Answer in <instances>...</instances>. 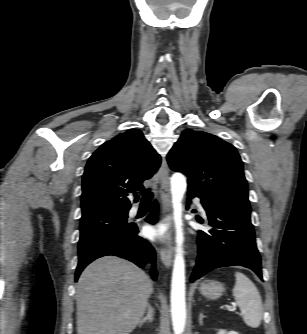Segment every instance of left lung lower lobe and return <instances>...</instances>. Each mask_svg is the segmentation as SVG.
<instances>
[{"mask_svg": "<svg viewBox=\"0 0 307 334\" xmlns=\"http://www.w3.org/2000/svg\"><path fill=\"white\" fill-rule=\"evenodd\" d=\"M197 195L188 192V203ZM198 197V196H197ZM201 203L207 213V232L198 231V258L190 281L225 266L241 265L252 269L261 279V258L258 253L250 212L229 205ZM188 208V207H187Z\"/></svg>", "mask_w": 307, "mask_h": 334, "instance_id": "0a47b994", "label": "left lung lower lobe"}]
</instances>
